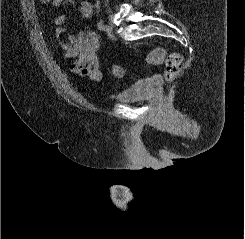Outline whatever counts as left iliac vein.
I'll return each mask as SVG.
<instances>
[{
	"mask_svg": "<svg viewBox=\"0 0 245 239\" xmlns=\"http://www.w3.org/2000/svg\"><path fill=\"white\" fill-rule=\"evenodd\" d=\"M105 33L109 36V37H113V28L111 25H106L105 26Z\"/></svg>",
	"mask_w": 245,
	"mask_h": 239,
	"instance_id": "obj_1",
	"label": "left iliac vein"
}]
</instances>
